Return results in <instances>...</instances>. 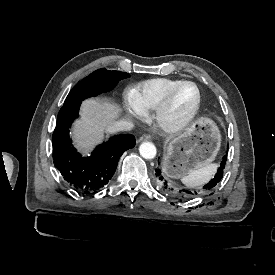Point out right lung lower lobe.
Instances as JSON below:
<instances>
[{
	"label": "right lung lower lobe",
	"mask_w": 275,
	"mask_h": 275,
	"mask_svg": "<svg viewBox=\"0 0 275 275\" xmlns=\"http://www.w3.org/2000/svg\"><path fill=\"white\" fill-rule=\"evenodd\" d=\"M81 103L63 105L52 136L53 160L64 180L82 193H91L105 186L114 175L119 158L135 146L133 135H118L97 146L83 157L72 146L69 128L79 116Z\"/></svg>",
	"instance_id": "98d812e1"
}]
</instances>
